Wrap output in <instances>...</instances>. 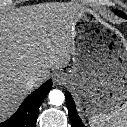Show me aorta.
Returning a JSON list of instances; mask_svg holds the SVG:
<instances>
[{
    "instance_id": "762f6f07",
    "label": "aorta",
    "mask_w": 127,
    "mask_h": 127,
    "mask_svg": "<svg viewBox=\"0 0 127 127\" xmlns=\"http://www.w3.org/2000/svg\"><path fill=\"white\" fill-rule=\"evenodd\" d=\"M64 94L58 89H54L49 93V100L52 105L60 106L64 102Z\"/></svg>"
}]
</instances>
